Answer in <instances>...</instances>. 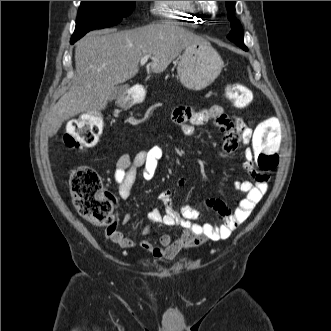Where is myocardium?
<instances>
[{
    "instance_id": "myocardium-1",
    "label": "myocardium",
    "mask_w": 331,
    "mask_h": 331,
    "mask_svg": "<svg viewBox=\"0 0 331 331\" xmlns=\"http://www.w3.org/2000/svg\"><path fill=\"white\" fill-rule=\"evenodd\" d=\"M207 5H208V1H203V8H206Z\"/></svg>"
}]
</instances>
